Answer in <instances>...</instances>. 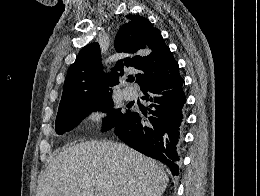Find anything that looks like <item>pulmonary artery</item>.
Segmentation results:
<instances>
[{"label": "pulmonary artery", "mask_w": 260, "mask_h": 196, "mask_svg": "<svg viewBox=\"0 0 260 196\" xmlns=\"http://www.w3.org/2000/svg\"><path fill=\"white\" fill-rule=\"evenodd\" d=\"M122 97L127 101H133L137 99V91L133 87H125L122 90Z\"/></svg>", "instance_id": "e3ab8cb5"}]
</instances>
